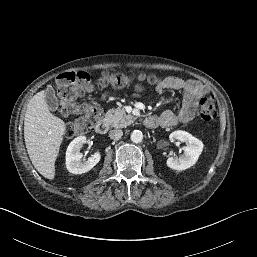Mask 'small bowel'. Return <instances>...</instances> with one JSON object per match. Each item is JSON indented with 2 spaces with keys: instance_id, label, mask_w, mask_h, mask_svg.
Listing matches in <instances>:
<instances>
[{
  "instance_id": "1",
  "label": "small bowel",
  "mask_w": 257,
  "mask_h": 257,
  "mask_svg": "<svg viewBox=\"0 0 257 257\" xmlns=\"http://www.w3.org/2000/svg\"><path fill=\"white\" fill-rule=\"evenodd\" d=\"M143 90L141 85H135V93L137 95L142 93ZM164 90H178L181 91L183 95V102L178 111L167 110L160 116H151L156 120V126L165 128L191 122L195 118L200 97L207 93L206 86L201 82L196 80H184L174 76L166 77L156 86L157 92ZM106 96L107 93L104 92L103 97L105 98Z\"/></svg>"
}]
</instances>
